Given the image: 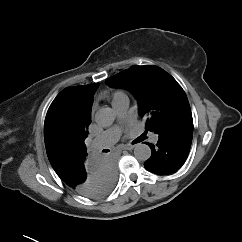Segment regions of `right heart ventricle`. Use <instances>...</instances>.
Instances as JSON below:
<instances>
[{
  "instance_id": "obj_1",
  "label": "right heart ventricle",
  "mask_w": 242,
  "mask_h": 242,
  "mask_svg": "<svg viewBox=\"0 0 242 242\" xmlns=\"http://www.w3.org/2000/svg\"><path fill=\"white\" fill-rule=\"evenodd\" d=\"M119 94H121L120 92H116V93H114V95H113V99L116 97V96H118Z\"/></svg>"
}]
</instances>
